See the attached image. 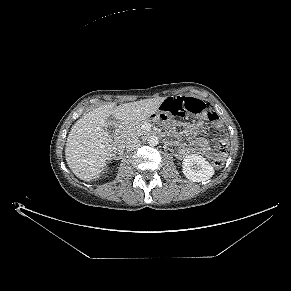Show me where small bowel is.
I'll list each match as a JSON object with an SVG mask.
<instances>
[{"instance_id": "1", "label": "small bowel", "mask_w": 291, "mask_h": 291, "mask_svg": "<svg viewBox=\"0 0 291 291\" xmlns=\"http://www.w3.org/2000/svg\"><path fill=\"white\" fill-rule=\"evenodd\" d=\"M174 124L180 125L179 121H174ZM203 123L199 122L196 126V129L202 127ZM193 151L200 153L208 158L213 156L212 147L207 139H198L195 141L194 146L192 148Z\"/></svg>"}]
</instances>
